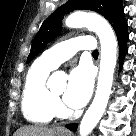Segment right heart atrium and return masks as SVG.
Masks as SVG:
<instances>
[{"label":"right heart atrium","instance_id":"right-heart-atrium-1","mask_svg":"<svg viewBox=\"0 0 136 136\" xmlns=\"http://www.w3.org/2000/svg\"><path fill=\"white\" fill-rule=\"evenodd\" d=\"M55 104H56V108L58 109V108L60 107L59 102H58V101H56V102H55Z\"/></svg>","mask_w":136,"mask_h":136}]
</instances>
